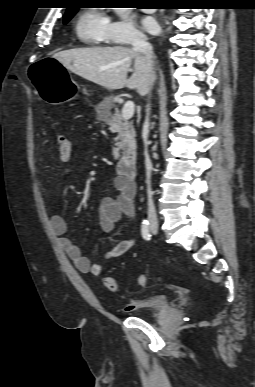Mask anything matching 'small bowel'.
<instances>
[{
  "label": "small bowel",
  "instance_id": "1",
  "mask_svg": "<svg viewBox=\"0 0 255 387\" xmlns=\"http://www.w3.org/2000/svg\"><path fill=\"white\" fill-rule=\"evenodd\" d=\"M76 154L77 151L73 147L72 152L69 155H60L59 157L62 161H69L74 158ZM70 173L71 170L65 168L61 173V177H68ZM113 186L117 191V194L115 196H112L109 193L105 194L98 206L100 226L106 233H112L114 231L115 225L122 216H135L133 183L127 182L122 178H115ZM50 225L53 233L59 239L63 250L73 262L75 268L81 273L99 275L103 269V261L121 257L135 246L134 239L120 240L113 247L103 252L102 261L91 262L89 258L83 256L80 249L66 237L68 226L63 216L60 214H53L50 218ZM137 304V300L131 301L127 306V310H134Z\"/></svg>",
  "mask_w": 255,
  "mask_h": 387
}]
</instances>
